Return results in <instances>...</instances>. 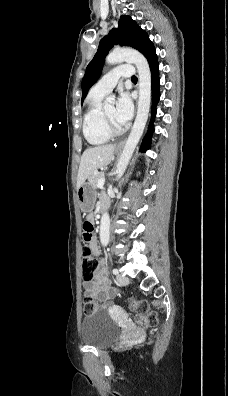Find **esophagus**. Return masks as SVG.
I'll use <instances>...</instances> for the list:
<instances>
[{
    "mask_svg": "<svg viewBox=\"0 0 228 396\" xmlns=\"http://www.w3.org/2000/svg\"><path fill=\"white\" fill-rule=\"evenodd\" d=\"M124 144H125V140L121 141V142L118 144V148H122V147L124 146Z\"/></svg>",
    "mask_w": 228,
    "mask_h": 396,
    "instance_id": "34e87169",
    "label": "esophagus"
}]
</instances>
